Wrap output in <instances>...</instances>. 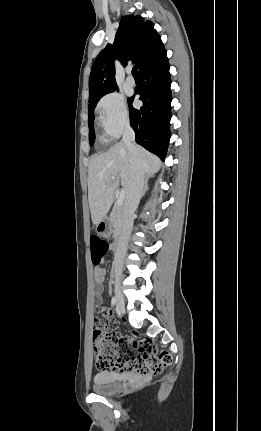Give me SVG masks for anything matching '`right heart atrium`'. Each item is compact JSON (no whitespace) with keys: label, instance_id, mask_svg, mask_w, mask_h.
Wrapping results in <instances>:
<instances>
[{"label":"right heart atrium","instance_id":"obj_1","mask_svg":"<svg viewBox=\"0 0 261 431\" xmlns=\"http://www.w3.org/2000/svg\"><path fill=\"white\" fill-rule=\"evenodd\" d=\"M96 113L98 122L104 134L110 138H117L129 125V113L124 98L110 92L97 103Z\"/></svg>","mask_w":261,"mask_h":431}]
</instances>
